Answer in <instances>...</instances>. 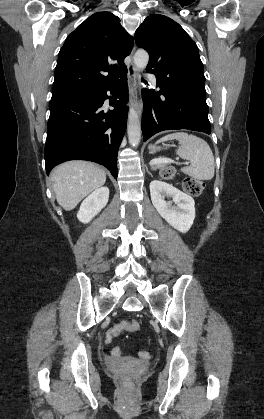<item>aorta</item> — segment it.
<instances>
[{"label": "aorta", "instance_id": "obj_1", "mask_svg": "<svg viewBox=\"0 0 264 419\" xmlns=\"http://www.w3.org/2000/svg\"><path fill=\"white\" fill-rule=\"evenodd\" d=\"M149 61V55L144 50H138L134 55V66L136 70L144 69ZM128 140L131 146L136 147L141 140V124L138 113L133 107H130L128 114Z\"/></svg>", "mask_w": 264, "mask_h": 419}]
</instances>
